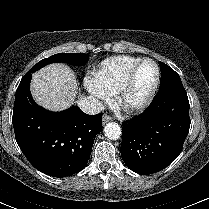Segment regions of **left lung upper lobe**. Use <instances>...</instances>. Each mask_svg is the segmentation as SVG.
Here are the masks:
<instances>
[{
    "label": "left lung upper lobe",
    "instance_id": "obj_1",
    "mask_svg": "<svg viewBox=\"0 0 209 209\" xmlns=\"http://www.w3.org/2000/svg\"><path fill=\"white\" fill-rule=\"evenodd\" d=\"M161 70L160 89L171 85H182L181 79L171 67L159 61Z\"/></svg>",
    "mask_w": 209,
    "mask_h": 209
}]
</instances>
